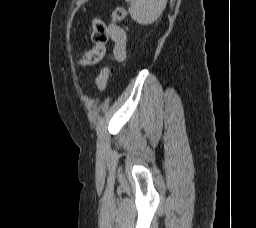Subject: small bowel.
Listing matches in <instances>:
<instances>
[{
    "instance_id": "small-bowel-1",
    "label": "small bowel",
    "mask_w": 256,
    "mask_h": 228,
    "mask_svg": "<svg viewBox=\"0 0 256 228\" xmlns=\"http://www.w3.org/2000/svg\"><path fill=\"white\" fill-rule=\"evenodd\" d=\"M108 34L110 39L113 41V56L116 61L122 62L126 57V42L127 35L123 28L120 26L110 23L108 25Z\"/></svg>"
}]
</instances>
